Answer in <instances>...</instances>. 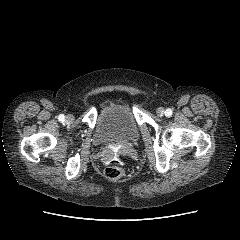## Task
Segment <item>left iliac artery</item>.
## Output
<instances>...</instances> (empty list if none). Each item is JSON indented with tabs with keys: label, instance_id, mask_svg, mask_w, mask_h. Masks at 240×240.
Segmentation results:
<instances>
[{
	"label": "left iliac artery",
	"instance_id": "1",
	"mask_svg": "<svg viewBox=\"0 0 240 240\" xmlns=\"http://www.w3.org/2000/svg\"><path fill=\"white\" fill-rule=\"evenodd\" d=\"M165 115H166L167 117H170V116L172 115V110H171V109H167V110L165 111Z\"/></svg>",
	"mask_w": 240,
	"mask_h": 240
}]
</instances>
